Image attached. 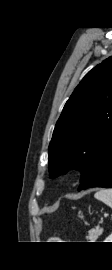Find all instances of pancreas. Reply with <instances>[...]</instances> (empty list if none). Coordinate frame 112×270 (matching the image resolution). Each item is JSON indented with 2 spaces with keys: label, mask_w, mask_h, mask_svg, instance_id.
Masks as SVG:
<instances>
[{
  "label": "pancreas",
  "mask_w": 112,
  "mask_h": 270,
  "mask_svg": "<svg viewBox=\"0 0 112 270\" xmlns=\"http://www.w3.org/2000/svg\"><path fill=\"white\" fill-rule=\"evenodd\" d=\"M103 228L95 227L94 229H91L88 231L87 239L90 240V242H95V240L102 234Z\"/></svg>",
  "instance_id": "pancreas-1"
}]
</instances>
